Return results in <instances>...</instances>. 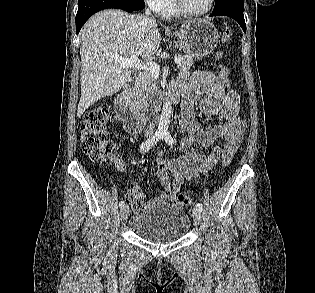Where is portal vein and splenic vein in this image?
Wrapping results in <instances>:
<instances>
[{
  "instance_id": "18ae733b",
  "label": "portal vein and splenic vein",
  "mask_w": 315,
  "mask_h": 293,
  "mask_svg": "<svg viewBox=\"0 0 315 293\" xmlns=\"http://www.w3.org/2000/svg\"><path fill=\"white\" fill-rule=\"evenodd\" d=\"M116 60L123 67H130L138 70H142L145 73L150 72L153 77L157 78L160 74V66L155 62L142 63L136 56L129 59L116 58ZM182 59L180 57H175L174 63L180 64Z\"/></svg>"
}]
</instances>
